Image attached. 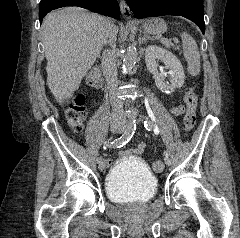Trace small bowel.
I'll return each instance as SVG.
<instances>
[{"label":"small bowel","instance_id":"obj_1","mask_svg":"<svg viewBox=\"0 0 240 238\" xmlns=\"http://www.w3.org/2000/svg\"><path fill=\"white\" fill-rule=\"evenodd\" d=\"M186 111V107L183 105L175 106L171 109V112L176 115H182ZM151 143H144L137 147V149H116V154H147V149L145 148H151ZM114 165V157H106V165L105 168L109 169L110 166ZM101 175H106V170H101Z\"/></svg>","mask_w":240,"mask_h":238}]
</instances>
